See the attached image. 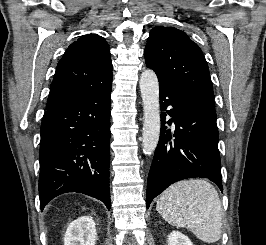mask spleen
I'll use <instances>...</instances> for the list:
<instances>
[{"label": "spleen", "instance_id": "spleen-1", "mask_svg": "<svg viewBox=\"0 0 266 245\" xmlns=\"http://www.w3.org/2000/svg\"><path fill=\"white\" fill-rule=\"evenodd\" d=\"M156 211L169 225L189 229L204 243L221 239V201L215 187L204 179L171 185L157 199Z\"/></svg>", "mask_w": 266, "mask_h": 245}]
</instances>
